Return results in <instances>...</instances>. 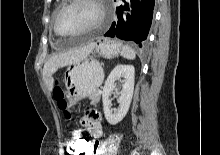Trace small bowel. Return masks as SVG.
<instances>
[{
  "label": "small bowel",
  "instance_id": "obj_1",
  "mask_svg": "<svg viewBox=\"0 0 220 155\" xmlns=\"http://www.w3.org/2000/svg\"><path fill=\"white\" fill-rule=\"evenodd\" d=\"M82 126L85 128V130L88 132L90 137H92L95 141H90L88 138V142H92V147H90V154L93 155L95 154L96 150L99 147V142L98 139L102 136L103 130H102V124L99 115L97 112H89L86 114L82 121ZM77 135H83L82 130H76L73 133L72 139H76Z\"/></svg>",
  "mask_w": 220,
  "mask_h": 155
}]
</instances>
